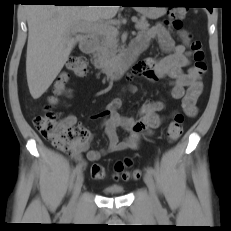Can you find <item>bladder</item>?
<instances>
[{"mask_svg": "<svg viewBox=\"0 0 231 231\" xmlns=\"http://www.w3.org/2000/svg\"><path fill=\"white\" fill-rule=\"evenodd\" d=\"M125 189L119 185L107 186L103 189V192L108 195H122Z\"/></svg>", "mask_w": 231, "mask_h": 231, "instance_id": "bladder-1", "label": "bladder"}]
</instances>
